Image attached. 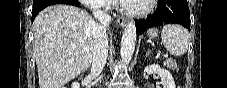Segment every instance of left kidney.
<instances>
[{
    "instance_id": "1",
    "label": "left kidney",
    "mask_w": 227,
    "mask_h": 88,
    "mask_svg": "<svg viewBox=\"0 0 227 88\" xmlns=\"http://www.w3.org/2000/svg\"><path fill=\"white\" fill-rule=\"evenodd\" d=\"M145 71L148 74H158L161 78V84L163 85V88H176L171 73L166 69H162L158 64L146 66Z\"/></svg>"
}]
</instances>
